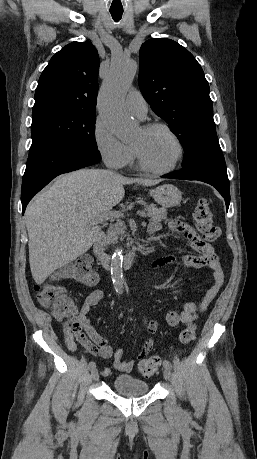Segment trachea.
Wrapping results in <instances>:
<instances>
[{
    "label": "trachea",
    "instance_id": "3493384b",
    "mask_svg": "<svg viewBox=\"0 0 257 459\" xmlns=\"http://www.w3.org/2000/svg\"><path fill=\"white\" fill-rule=\"evenodd\" d=\"M110 13L113 20L118 22L122 17L123 11H110Z\"/></svg>",
    "mask_w": 257,
    "mask_h": 459
}]
</instances>
